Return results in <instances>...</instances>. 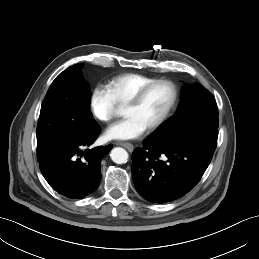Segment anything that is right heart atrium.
<instances>
[{"label":"right heart atrium","mask_w":259,"mask_h":259,"mask_svg":"<svg viewBox=\"0 0 259 259\" xmlns=\"http://www.w3.org/2000/svg\"><path fill=\"white\" fill-rule=\"evenodd\" d=\"M90 106L93 115L102 122H109L116 115V103L108 89L102 85L93 88Z\"/></svg>","instance_id":"obj_1"}]
</instances>
